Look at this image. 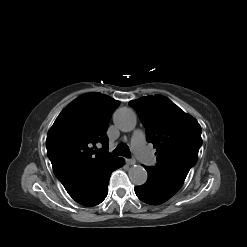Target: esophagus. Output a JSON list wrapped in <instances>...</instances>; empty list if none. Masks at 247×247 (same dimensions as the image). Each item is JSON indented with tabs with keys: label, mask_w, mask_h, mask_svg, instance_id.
Returning a JSON list of instances; mask_svg holds the SVG:
<instances>
[{
	"label": "esophagus",
	"mask_w": 247,
	"mask_h": 247,
	"mask_svg": "<svg viewBox=\"0 0 247 247\" xmlns=\"http://www.w3.org/2000/svg\"><path fill=\"white\" fill-rule=\"evenodd\" d=\"M126 163L128 165H134L136 163V160L134 158H127Z\"/></svg>",
	"instance_id": "obj_1"
}]
</instances>
